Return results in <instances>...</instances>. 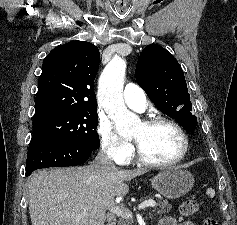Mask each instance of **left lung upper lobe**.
I'll list each match as a JSON object with an SVG mask.
<instances>
[{"label":"left lung upper lobe","mask_w":237,"mask_h":225,"mask_svg":"<svg viewBox=\"0 0 237 225\" xmlns=\"http://www.w3.org/2000/svg\"><path fill=\"white\" fill-rule=\"evenodd\" d=\"M136 80L158 109L184 129L194 131L197 118L192 114L184 73L166 49L154 44L144 48L137 62Z\"/></svg>","instance_id":"left-lung-upper-lobe-1"}]
</instances>
